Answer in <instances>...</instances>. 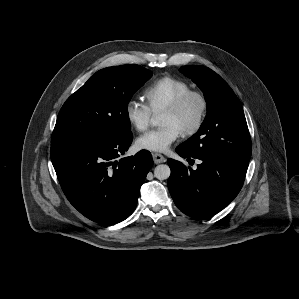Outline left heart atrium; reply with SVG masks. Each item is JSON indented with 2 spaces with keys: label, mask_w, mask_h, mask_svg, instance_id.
<instances>
[{
  "label": "left heart atrium",
  "mask_w": 299,
  "mask_h": 299,
  "mask_svg": "<svg viewBox=\"0 0 299 299\" xmlns=\"http://www.w3.org/2000/svg\"><path fill=\"white\" fill-rule=\"evenodd\" d=\"M180 135L181 130L178 127L174 125L164 126L139 136L136 140V147L140 150L164 152Z\"/></svg>",
  "instance_id": "left-heart-atrium-1"
}]
</instances>
